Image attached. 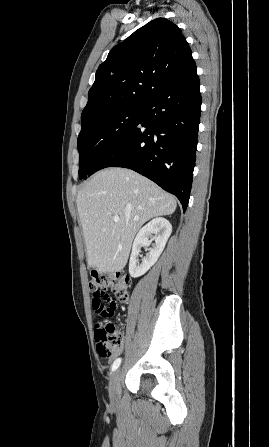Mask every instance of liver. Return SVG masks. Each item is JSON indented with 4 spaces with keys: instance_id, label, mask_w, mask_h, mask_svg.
<instances>
[{
    "instance_id": "obj_1",
    "label": "liver",
    "mask_w": 269,
    "mask_h": 447,
    "mask_svg": "<svg viewBox=\"0 0 269 447\" xmlns=\"http://www.w3.org/2000/svg\"><path fill=\"white\" fill-rule=\"evenodd\" d=\"M89 267L101 273L121 271L141 225L176 210L174 196L125 168L94 174L76 200ZM119 216V222H114ZM136 220V222H135Z\"/></svg>"
}]
</instances>
